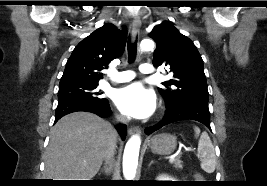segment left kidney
Returning a JSON list of instances; mask_svg holds the SVG:
<instances>
[{
    "mask_svg": "<svg viewBox=\"0 0 267 186\" xmlns=\"http://www.w3.org/2000/svg\"><path fill=\"white\" fill-rule=\"evenodd\" d=\"M157 181H175V179L168 175H160L157 177Z\"/></svg>",
    "mask_w": 267,
    "mask_h": 186,
    "instance_id": "1",
    "label": "left kidney"
}]
</instances>
